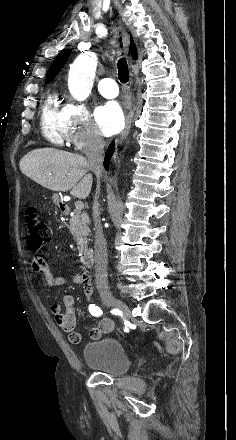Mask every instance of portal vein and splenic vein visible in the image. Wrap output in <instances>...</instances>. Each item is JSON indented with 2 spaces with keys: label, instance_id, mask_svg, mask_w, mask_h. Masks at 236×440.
<instances>
[{
  "label": "portal vein and splenic vein",
  "instance_id": "1",
  "mask_svg": "<svg viewBox=\"0 0 236 440\" xmlns=\"http://www.w3.org/2000/svg\"><path fill=\"white\" fill-rule=\"evenodd\" d=\"M83 207H84V204H83L82 201H76V202H75V208H76V210H82Z\"/></svg>",
  "mask_w": 236,
  "mask_h": 440
}]
</instances>
